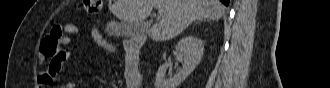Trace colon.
I'll return each instance as SVG.
<instances>
[{
  "instance_id": "obj_1",
  "label": "colon",
  "mask_w": 330,
  "mask_h": 88,
  "mask_svg": "<svg viewBox=\"0 0 330 88\" xmlns=\"http://www.w3.org/2000/svg\"><path fill=\"white\" fill-rule=\"evenodd\" d=\"M81 9L85 15L89 18H94L99 13L100 1L97 0H85L81 6ZM65 35L63 26L54 27L50 33L44 37L41 49L47 55L53 57L52 66H55V59L61 53V48H59V40ZM92 36L96 44L100 47L110 49L111 46L106 42L96 31L93 30Z\"/></svg>"
}]
</instances>
